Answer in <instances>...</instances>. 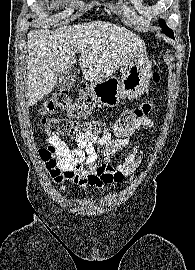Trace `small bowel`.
Instances as JSON below:
<instances>
[{
    "instance_id": "small-bowel-1",
    "label": "small bowel",
    "mask_w": 195,
    "mask_h": 270,
    "mask_svg": "<svg viewBox=\"0 0 195 270\" xmlns=\"http://www.w3.org/2000/svg\"><path fill=\"white\" fill-rule=\"evenodd\" d=\"M140 127L153 129L155 125L151 118L144 116L131 125L114 127L102 135L94 130L81 131L75 136L76 147L73 149L57 136L49 139L48 147L59 155L68 179H73L80 187L104 189L111 183L122 182L138 169L143 154L139 145L132 148L122 164L114 165L113 156L129 144ZM96 146L104 147L102 162H97Z\"/></svg>"
}]
</instances>
